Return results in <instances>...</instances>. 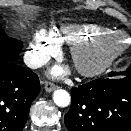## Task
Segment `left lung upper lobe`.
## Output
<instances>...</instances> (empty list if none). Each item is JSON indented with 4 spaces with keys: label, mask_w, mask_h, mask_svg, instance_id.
<instances>
[{
    "label": "left lung upper lobe",
    "mask_w": 131,
    "mask_h": 131,
    "mask_svg": "<svg viewBox=\"0 0 131 131\" xmlns=\"http://www.w3.org/2000/svg\"><path fill=\"white\" fill-rule=\"evenodd\" d=\"M114 74H117V73H114ZM118 74L125 75V76H131V66L125 72L118 73Z\"/></svg>",
    "instance_id": "obj_1"
}]
</instances>
